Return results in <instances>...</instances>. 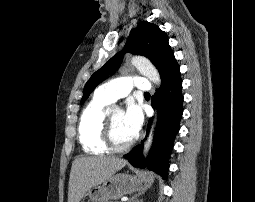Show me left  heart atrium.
I'll use <instances>...</instances> for the list:
<instances>
[{
	"mask_svg": "<svg viewBox=\"0 0 255 202\" xmlns=\"http://www.w3.org/2000/svg\"><path fill=\"white\" fill-rule=\"evenodd\" d=\"M124 122L129 131L136 136L143 124V112L138 104H128L124 113Z\"/></svg>",
	"mask_w": 255,
	"mask_h": 202,
	"instance_id": "obj_1",
	"label": "left heart atrium"
}]
</instances>
